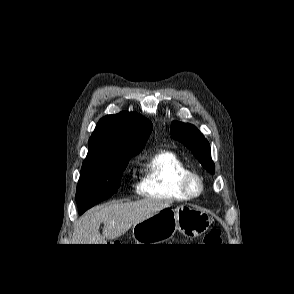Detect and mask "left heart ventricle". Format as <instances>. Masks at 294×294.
Masks as SVG:
<instances>
[{
    "label": "left heart ventricle",
    "mask_w": 294,
    "mask_h": 294,
    "mask_svg": "<svg viewBox=\"0 0 294 294\" xmlns=\"http://www.w3.org/2000/svg\"><path fill=\"white\" fill-rule=\"evenodd\" d=\"M193 187H194V189H197L198 188V184H197L196 181L193 182Z\"/></svg>",
    "instance_id": "left-heart-ventricle-1"
}]
</instances>
